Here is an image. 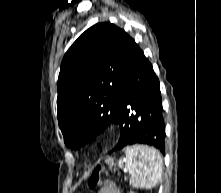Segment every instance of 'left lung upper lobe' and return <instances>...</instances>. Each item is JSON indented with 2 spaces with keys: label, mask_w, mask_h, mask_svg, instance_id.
Instances as JSON below:
<instances>
[{
  "label": "left lung upper lobe",
  "mask_w": 221,
  "mask_h": 193,
  "mask_svg": "<svg viewBox=\"0 0 221 193\" xmlns=\"http://www.w3.org/2000/svg\"><path fill=\"white\" fill-rule=\"evenodd\" d=\"M138 49L124 30L100 23L82 33L67 51L57 97L58 123L67 147L78 149L118 122L121 84ZM154 123V112L148 110L141 124Z\"/></svg>",
  "instance_id": "obj_1"
}]
</instances>
